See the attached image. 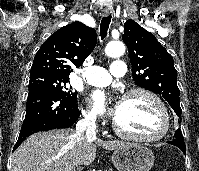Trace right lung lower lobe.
<instances>
[{
  "instance_id": "obj_1",
  "label": "right lung lower lobe",
  "mask_w": 199,
  "mask_h": 171,
  "mask_svg": "<svg viewBox=\"0 0 199 171\" xmlns=\"http://www.w3.org/2000/svg\"><path fill=\"white\" fill-rule=\"evenodd\" d=\"M79 115L76 103L65 99L54 90L49 88L30 90L25 119L13 150L36 132L71 127Z\"/></svg>"
}]
</instances>
